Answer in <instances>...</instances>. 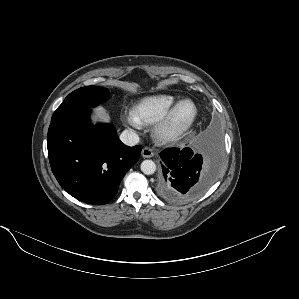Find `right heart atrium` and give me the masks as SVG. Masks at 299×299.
I'll list each match as a JSON object with an SVG mask.
<instances>
[{
	"mask_svg": "<svg viewBox=\"0 0 299 299\" xmlns=\"http://www.w3.org/2000/svg\"><path fill=\"white\" fill-rule=\"evenodd\" d=\"M123 120L124 122L134 128H140L142 123L137 119L133 111H126L123 114Z\"/></svg>",
	"mask_w": 299,
	"mask_h": 299,
	"instance_id": "obj_1",
	"label": "right heart atrium"
}]
</instances>
